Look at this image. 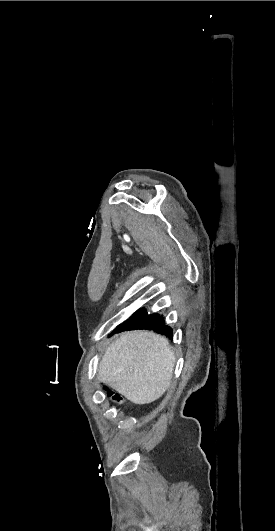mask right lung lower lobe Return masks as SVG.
Masks as SVG:
<instances>
[{
  "instance_id": "98d812e1",
  "label": "right lung lower lobe",
  "mask_w": 275,
  "mask_h": 531,
  "mask_svg": "<svg viewBox=\"0 0 275 531\" xmlns=\"http://www.w3.org/2000/svg\"><path fill=\"white\" fill-rule=\"evenodd\" d=\"M150 329L158 333L165 334L171 338L173 335L172 328L165 324L162 316L158 314L148 315L145 309H139L128 320L118 325L113 332L124 330Z\"/></svg>"
}]
</instances>
